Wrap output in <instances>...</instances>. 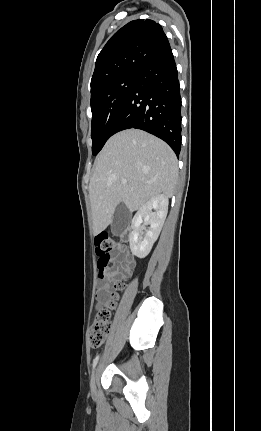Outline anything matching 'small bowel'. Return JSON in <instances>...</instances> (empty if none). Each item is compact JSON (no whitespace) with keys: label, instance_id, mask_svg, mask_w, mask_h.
Wrapping results in <instances>:
<instances>
[{"label":"small bowel","instance_id":"c3829d8e","mask_svg":"<svg viewBox=\"0 0 261 431\" xmlns=\"http://www.w3.org/2000/svg\"><path fill=\"white\" fill-rule=\"evenodd\" d=\"M115 257L120 259V261L113 267L105 268L103 273L98 275L96 300L99 309L103 308L110 301V297L113 294V285L119 273L118 265L124 264L127 268L134 266V260L125 248H119Z\"/></svg>","mask_w":261,"mask_h":431}]
</instances>
